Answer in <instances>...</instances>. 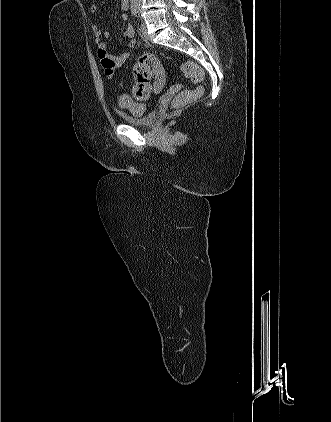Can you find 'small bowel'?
I'll list each match as a JSON object with an SVG mask.
<instances>
[{
  "label": "small bowel",
  "mask_w": 331,
  "mask_h": 422,
  "mask_svg": "<svg viewBox=\"0 0 331 422\" xmlns=\"http://www.w3.org/2000/svg\"><path fill=\"white\" fill-rule=\"evenodd\" d=\"M121 7L122 9L125 10L122 2H121ZM96 11H97V5L95 3H92L90 6V13L94 14L96 13ZM121 19L126 20L127 15L122 14ZM91 31L94 35V41L97 47L98 57L100 59L104 73L108 78H111L114 75L115 70L121 67L123 64H125L128 61V59L131 56V51L137 45V40L134 39L135 30L133 26L131 25H128L126 27L124 34L128 39H130V42L128 44L129 50L121 54H112L108 51L107 45L104 42V39L110 36V33L108 31H104L97 24L91 25Z\"/></svg>",
  "instance_id": "obj_1"
}]
</instances>
